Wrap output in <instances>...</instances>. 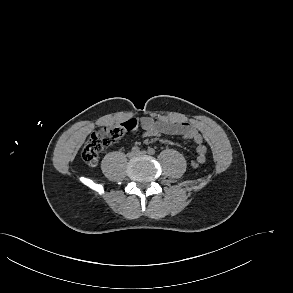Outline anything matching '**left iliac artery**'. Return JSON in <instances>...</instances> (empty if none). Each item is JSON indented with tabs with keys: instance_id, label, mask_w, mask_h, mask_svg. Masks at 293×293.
<instances>
[{
	"instance_id": "obj_1",
	"label": "left iliac artery",
	"mask_w": 293,
	"mask_h": 293,
	"mask_svg": "<svg viewBox=\"0 0 293 293\" xmlns=\"http://www.w3.org/2000/svg\"><path fill=\"white\" fill-rule=\"evenodd\" d=\"M147 151H148L149 155H154L155 154V150L153 148L149 147Z\"/></svg>"
}]
</instances>
